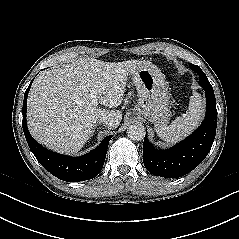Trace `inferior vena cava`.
<instances>
[{"mask_svg": "<svg viewBox=\"0 0 239 239\" xmlns=\"http://www.w3.org/2000/svg\"><path fill=\"white\" fill-rule=\"evenodd\" d=\"M97 122H103L104 124H109L111 119L107 116H101L96 119Z\"/></svg>", "mask_w": 239, "mask_h": 239, "instance_id": "1", "label": "inferior vena cava"}]
</instances>
